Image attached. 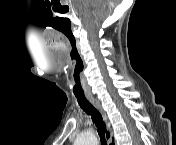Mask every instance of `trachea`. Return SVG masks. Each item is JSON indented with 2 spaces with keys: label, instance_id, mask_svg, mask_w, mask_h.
Wrapping results in <instances>:
<instances>
[{
  "label": "trachea",
  "instance_id": "trachea-1",
  "mask_svg": "<svg viewBox=\"0 0 176 145\" xmlns=\"http://www.w3.org/2000/svg\"><path fill=\"white\" fill-rule=\"evenodd\" d=\"M80 107L85 111L88 115L91 116L93 122L98 128V134L101 140L102 145H107V141L105 139L106 126L103 121L101 113L87 100L84 95H75Z\"/></svg>",
  "mask_w": 176,
  "mask_h": 145
}]
</instances>
